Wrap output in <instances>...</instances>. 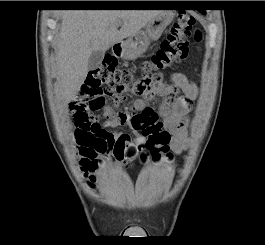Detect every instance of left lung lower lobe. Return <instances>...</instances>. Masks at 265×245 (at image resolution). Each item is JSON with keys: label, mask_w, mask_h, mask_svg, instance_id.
I'll list each match as a JSON object with an SVG mask.
<instances>
[{"label": "left lung lower lobe", "mask_w": 265, "mask_h": 245, "mask_svg": "<svg viewBox=\"0 0 265 245\" xmlns=\"http://www.w3.org/2000/svg\"><path fill=\"white\" fill-rule=\"evenodd\" d=\"M199 12H201V13H204V10H198Z\"/></svg>", "instance_id": "left-lung-lower-lobe-1"}]
</instances>
